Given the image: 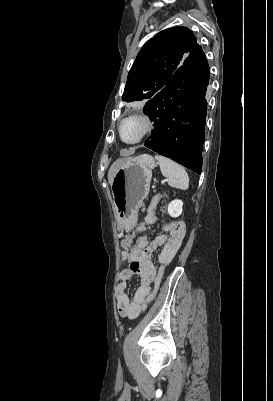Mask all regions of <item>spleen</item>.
<instances>
[{
    "instance_id": "obj_1",
    "label": "spleen",
    "mask_w": 273,
    "mask_h": 401,
    "mask_svg": "<svg viewBox=\"0 0 273 401\" xmlns=\"http://www.w3.org/2000/svg\"><path fill=\"white\" fill-rule=\"evenodd\" d=\"M156 160H158L163 176L169 178L168 184L170 186H175V188H183L186 190L189 186V176L180 164L166 158V156H160V154H155Z\"/></svg>"
}]
</instances>
